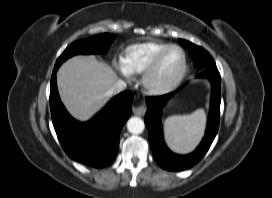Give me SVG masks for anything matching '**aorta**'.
<instances>
[{"label":"aorta","mask_w":272,"mask_h":198,"mask_svg":"<svg viewBox=\"0 0 272 198\" xmlns=\"http://www.w3.org/2000/svg\"><path fill=\"white\" fill-rule=\"evenodd\" d=\"M145 124L139 117H132L127 122V129L132 134H140L143 132Z\"/></svg>","instance_id":"762f6f07"}]
</instances>
